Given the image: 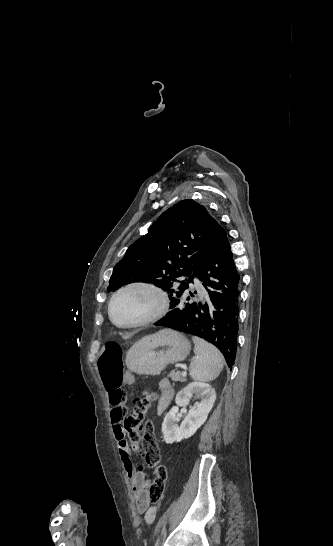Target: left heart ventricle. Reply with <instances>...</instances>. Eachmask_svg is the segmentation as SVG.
<instances>
[{
  "instance_id": "obj_1",
  "label": "left heart ventricle",
  "mask_w": 333,
  "mask_h": 546,
  "mask_svg": "<svg viewBox=\"0 0 333 546\" xmlns=\"http://www.w3.org/2000/svg\"><path fill=\"white\" fill-rule=\"evenodd\" d=\"M155 302V297L148 291L130 290L115 301L112 314L118 323H131L147 315Z\"/></svg>"
}]
</instances>
